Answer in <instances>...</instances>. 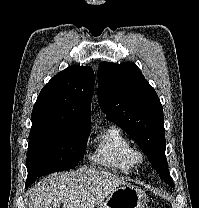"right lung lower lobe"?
I'll return each instance as SVG.
<instances>
[{"label": "right lung lower lobe", "mask_w": 199, "mask_h": 208, "mask_svg": "<svg viewBox=\"0 0 199 208\" xmlns=\"http://www.w3.org/2000/svg\"><path fill=\"white\" fill-rule=\"evenodd\" d=\"M31 184V182H26V186H29Z\"/></svg>", "instance_id": "1"}]
</instances>
